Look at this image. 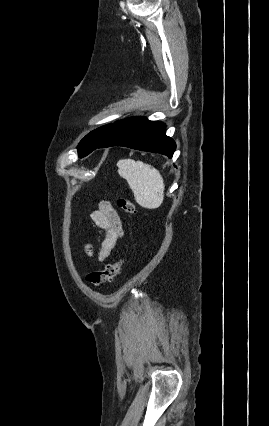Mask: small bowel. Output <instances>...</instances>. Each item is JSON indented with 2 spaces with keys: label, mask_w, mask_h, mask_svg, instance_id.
I'll use <instances>...</instances> for the list:
<instances>
[{
  "label": "small bowel",
  "mask_w": 269,
  "mask_h": 426,
  "mask_svg": "<svg viewBox=\"0 0 269 426\" xmlns=\"http://www.w3.org/2000/svg\"><path fill=\"white\" fill-rule=\"evenodd\" d=\"M91 218L95 226L103 232L96 258L99 262H104L124 236L121 218L108 201L100 202L98 209L92 212ZM85 253L89 257L94 255L91 244L86 245Z\"/></svg>",
  "instance_id": "small-bowel-1"
}]
</instances>
